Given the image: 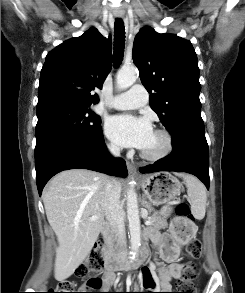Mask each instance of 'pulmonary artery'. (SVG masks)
Instances as JSON below:
<instances>
[{
    "label": "pulmonary artery",
    "instance_id": "pulmonary-artery-1",
    "mask_svg": "<svg viewBox=\"0 0 245 293\" xmlns=\"http://www.w3.org/2000/svg\"><path fill=\"white\" fill-rule=\"evenodd\" d=\"M147 102V90L142 85H134L128 91L115 96L111 101V107L119 110L136 109Z\"/></svg>",
    "mask_w": 245,
    "mask_h": 293
}]
</instances>
